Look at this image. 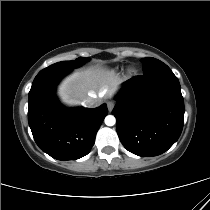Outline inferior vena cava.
Listing matches in <instances>:
<instances>
[{"label":"inferior vena cava","mask_w":210,"mask_h":210,"mask_svg":"<svg viewBox=\"0 0 210 210\" xmlns=\"http://www.w3.org/2000/svg\"><path fill=\"white\" fill-rule=\"evenodd\" d=\"M83 104L87 107H93L97 105V99L94 97H87L84 101Z\"/></svg>","instance_id":"obj_1"}]
</instances>
